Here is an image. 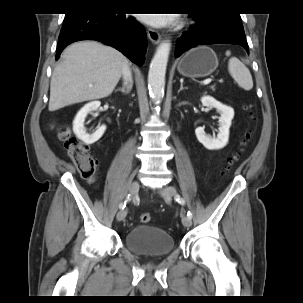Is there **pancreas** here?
<instances>
[{"label":"pancreas","instance_id":"pancreas-1","mask_svg":"<svg viewBox=\"0 0 303 303\" xmlns=\"http://www.w3.org/2000/svg\"><path fill=\"white\" fill-rule=\"evenodd\" d=\"M211 89H212V90H215V87H214V86H211Z\"/></svg>","mask_w":303,"mask_h":303}]
</instances>
